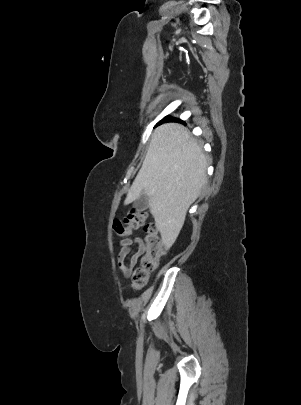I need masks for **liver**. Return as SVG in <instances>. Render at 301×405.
<instances>
[{
    "instance_id": "1",
    "label": "liver",
    "mask_w": 301,
    "mask_h": 405,
    "mask_svg": "<svg viewBox=\"0 0 301 405\" xmlns=\"http://www.w3.org/2000/svg\"><path fill=\"white\" fill-rule=\"evenodd\" d=\"M207 156L182 125L167 123L152 134L125 205L145 193L166 248L178 237L191 204L206 183Z\"/></svg>"
}]
</instances>
